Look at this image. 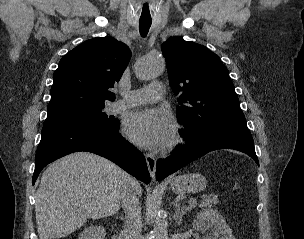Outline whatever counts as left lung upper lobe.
I'll return each instance as SVG.
<instances>
[{
    "label": "left lung upper lobe",
    "mask_w": 304,
    "mask_h": 239,
    "mask_svg": "<svg viewBox=\"0 0 304 239\" xmlns=\"http://www.w3.org/2000/svg\"><path fill=\"white\" fill-rule=\"evenodd\" d=\"M185 139L224 129L248 130L228 69L218 55L192 41L171 37L162 44Z\"/></svg>",
    "instance_id": "left-lung-upper-lobe-1"
}]
</instances>
